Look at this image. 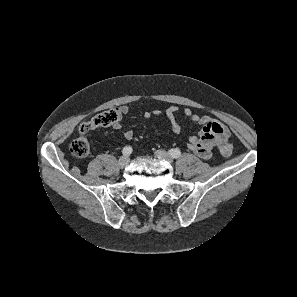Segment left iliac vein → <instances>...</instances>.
Masks as SVG:
<instances>
[{
	"mask_svg": "<svg viewBox=\"0 0 297 297\" xmlns=\"http://www.w3.org/2000/svg\"><path fill=\"white\" fill-rule=\"evenodd\" d=\"M155 155H156L158 158H161V159H163V160H165V161H167V162H169V163H172V162H173V158H172V156H171L168 152H166V151H164V150H157V151L155 152Z\"/></svg>",
	"mask_w": 297,
	"mask_h": 297,
	"instance_id": "1",
	"label": "left iliac vein"
}]
</instances>
